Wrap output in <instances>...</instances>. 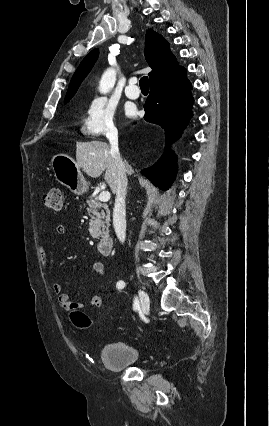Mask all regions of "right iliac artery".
<instances>
[{
	"label": "right iliac artery",
	"instance_id": "obj_1",
	"mask_svg": "<svg viewBox=\"0 0 269 426\" xmlns=\"http://www.w3.org/2000/svg\"><path fill=\"white\" fill-rule=\"evenodd\" d=\"M117 285H118V288H123L125 286V283L124 282H119ZM133 309L135 311H137V310L140 309V304H139V300H138L137 297L134 298Z\"/></svg>",
	"mask_w": 269,
	"mask_h": 426
}]
</instances>
